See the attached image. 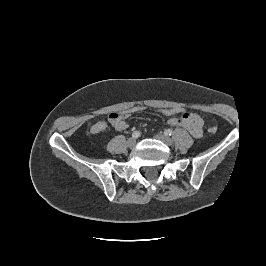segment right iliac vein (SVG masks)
Instances as JSON below:
<instances>
[{"instance_id":"right-iliac-vein-1","label":"right iliac vein","mask_w":266,"mask_h":266,"mask_svg":"<svg viewBox=\"0 0 266 266\" xmlns=\"http://www.w3.org/2000/svg\"><path fill=\"white\" fill-rule=\"evenodd\" d=\"M135 144H136V138L131 137V138H129V139L127 140V146H128V147H133V146H135Z\"/></svg>"}]
</instances>
